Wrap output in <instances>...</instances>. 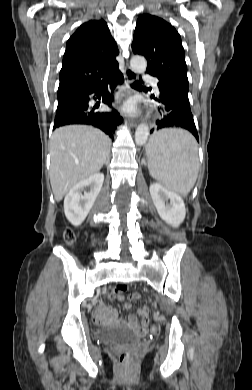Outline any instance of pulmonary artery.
<instances>
[{"label":"pulmonary artery","mask_w":252,"mask_h":390,"mask_svg":"<svg viewBox=\"0 0 252 390\" xmlns=\"http://www.w3.org/2000/svg\"><path fill=\"white\" fill-rule=\"evenodd\" d=\"M147 80H151L152 81V84L153 86L155 87V90L157 93H159V90H158V87H157V80L156 79H151L149 77H145Z\"/></svg>","instance_id":"e3ab8cb5"}]
</instances>
